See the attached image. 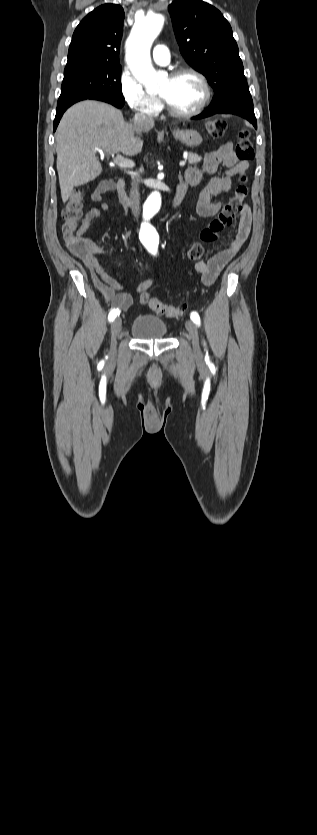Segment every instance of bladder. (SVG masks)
I'll use <instances>...</instances> for the list:
<instances>
[{
    "instance_id": "1",
    "label": "bladder",
    "mask_w": 317,
    "mask_h": 835,
    "mask_svg": "<svg viewBox=\"0 0 317 835\" xmlns=\"http://www.w3.org/2000/svg\"><path fill=\"white\" fill-rule=\"evenodd\" d=\"M131 334L142 340L164 339L168 335V326L158 316L141 315L133 321Z\"/></svg>"
}]
</instances>
